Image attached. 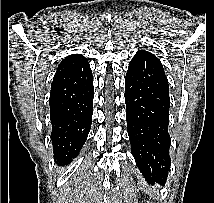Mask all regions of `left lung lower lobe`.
<instances>
[{"label":"left lung lower lobe","instance_id":"left-lung-lower-lobe-1","mask_svg":"<svg viewBox=\"0 0 214 203\" xmlns=\"http://www.w3.org/2000/svg\"><path fill=\"white\" fill-rule=\"evenodd\" d=\"M127 131L146 180L164 183L170 171L169 85L160 60L138 50L125 78Z\"/></svg>","mask_w":214,"mask_h":203}]
</instances>
